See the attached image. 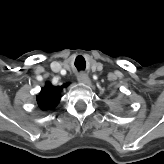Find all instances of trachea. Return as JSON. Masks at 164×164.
I'll list each match as a JSON object with an SVG mask.
<instances>
[{
    "instance_id": "obj_1",
    "label": "trachea",
    "mask_w": 164,
    "mask_h": 164,
    "mask_svg": "<svg viewBox=\"0 0 164 164\" xmlns=\"http://www.w3.org/2000/svg\"><path fill=\"white\" fill-rule=\"evenodd\" d=\"M80 57H78L75 61V65L76 68L80 71V70H85V61L84 64L82 62L79 61Z\"/></svg>"
}]
</instances>
